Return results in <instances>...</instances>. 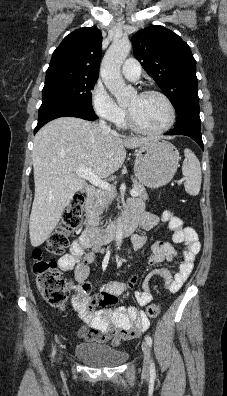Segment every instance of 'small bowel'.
<instances>
[{"label":"small bowel","instance_id":"small-bowel-1","mask_svg":"<svg viewBox=\"0 0 227 396\" xmlns=\"http://www.w3.org/2000/svg\"><path fill=\"white\" fill-rule=\"evenodd\" d=\"M128 214L135 217L137 224L144 231L154 229L159 223H166L172 232V240L176 244H183V261L175 272L166 268L151 271L145 278L141 291L134 292V298L139 306H146L152 301L151 287L156 279H160L170 293L181 289L192 272L194 260L200 251V242L195 229L184 226L183 221L170 210L156 216L144 211L141 201L132 200L128 205ZM147 242L143 234L132 236V247L140 250ZM90 247L84 234L73 241L70 252L60 257L59 268L63 271H74V281L71 282L73 291L72 305L80 314L83 325L78 335L88 341L105 343L110 341L117 346L122 340H130L137 337L149 327V319L146 313L135 307L119 306L114 309L99 307L115 304L118 298L126 291L131 290L136 282L132 277L127 282H105L100 284V295L90 298L92 286L87 281L90 266L94 264V253L86 249ZM179 253L168 242H156L153 245L151 257L147 267H154L162 261L172 262Z\"/></svg>","mask_w":227,"mask_h":396}]
</instances>
